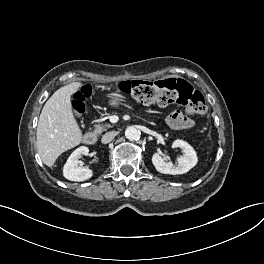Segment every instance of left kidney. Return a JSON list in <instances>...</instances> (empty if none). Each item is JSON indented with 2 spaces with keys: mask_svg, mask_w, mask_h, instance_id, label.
Listing matches in <instances>:
<instances>
[{
  "mask_svg": "<svg viewBox=\"0 0 264 264\" xmlns=\"http://www.w3.org/2000/svg\"><path fill=\"white\" fill-rule=\"evenodd\" d=\"M173 148H180L184 155L178 158V164L173 165L171 162H165L159 153H154L152 156V163L155 169L163 174H183L188 172L197 164V155L193 147L187 142L177 139L172 143Z\"/></svg>",
  "mask_w": 264,
  "mask_h": 264,
  "instance_id": "left-kidney-1",
  "label": "left kidney"
}]
</instances>
